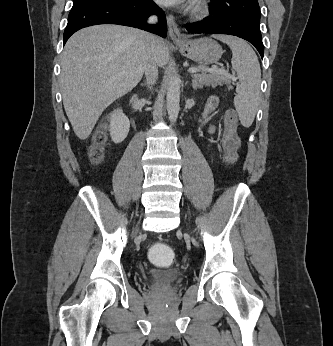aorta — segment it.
Masks as SVG:
<instances>
[{
    "label": "aorta",
    "mask_w": 333,
    "mask_h": 346,
    "mask_svg": "<svg viewBox=\"0 0 333 346\" xmlns=\"http://www.w3.org/2000/svg\"><path fill=\"white\" fill-rule=\"evenodd\" d=\"M167 111L171 122H175L180 110V83L177 77L171 78L167 90Z\"/></svg>",
    "instance_id": "obj_1"
}]
</instances>
